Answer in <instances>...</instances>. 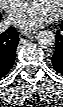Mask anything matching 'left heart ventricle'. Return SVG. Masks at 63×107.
<instances>
[{
	"label": "left heart ventricle",
	"mask_w": 63,
	"mask_h": 107,
	"mask_svg": "<svg viewBox=\"0 0 63 107\" xmlns=\"http://www.w3.org/2000/svg\"><path fill=\"white\" fill-rule=\"evenodd\" d=\"M39 3H41L51 14H53L58 9L60 0H39Z\"/></svg>",
	"instance_id": "b2bd125f"
}]
</instances>
